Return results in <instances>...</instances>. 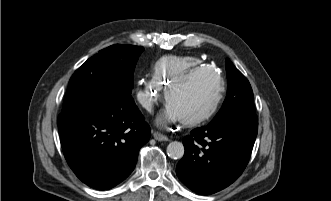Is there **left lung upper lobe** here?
Masks as SVG:
<instances>
[{"instance_id": "5c2ea615", "label": "left lung upper lobe", "mask_w": 331, "mask_h": 201, "mask_svg": "<svg viewBox=\"0 0 331 201\" xmlns=\"http://www.w3.org/2000/svg\"><path fill=\"white\" fill-rule=\"evenodd\" d=\"M226 71L229 82L227 97L212 121L232 117L256 116L253 91L249 81L228 58L226 59Z\"/></svg>"}]
</instances>
